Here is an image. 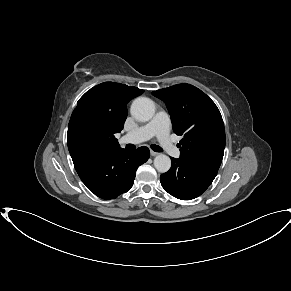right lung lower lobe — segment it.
Segmentation results:
<instances>
[{
	"label": "right lung lower lobe",
	"mask_w": 291,
	"mask_h": 291,
	"mask_svg": "<svg viewBox=\"0 0 291 291\" xmlns=\"http://www.w3.org/2000/svg\"><path fill=\"white\" fill-rule=\"evenodd\" d=\"M68 149L82 182L102 199H114L130 190L137 168L150 156L147 147L102 151L86 143L68 142Z\"/></svg>",
	"instance_id": "1"
}]
</instances>
